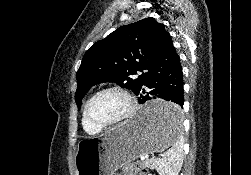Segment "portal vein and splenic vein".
<instances>
[{"instance_id": "1", "label": "portal vein and splenic vein", "mask_w": 251, "mask_h": 175, "mask_svg": "<svg viewBox=\"0 0 251 175\" xmlns=\"http://www.w3.org/2000/svg\"><path fill=\"white\" fill-rule=\"evenodd\" d=\"M150 157V154L149 153H142L141 156H140V159L141 160H146L147 158ZM152 157L153 158H163L164 157V154L162 152H159V153H153L152 154Z\"/></svg>"}]
</instances>
